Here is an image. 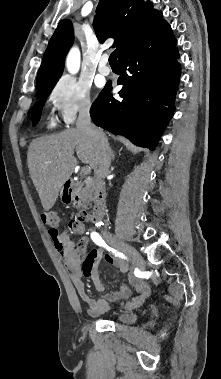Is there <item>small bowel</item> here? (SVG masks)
Listing matches in <instances>:
<instances>
[{
	"instance_id": "obj_1",
	"label": "small bowel",
	"mask_w": 221,
	"mask_h": 379,
	"mask_svg": "<svg viewBox=\"0 0 221 379\" xmlns=\"http://www.w3.org/2000/svg\"><path fill=\"white\" fill-rule=\"evenodd\" d=\"M55 247L66 262V268L70 279L74 284L78 295L87 304L88 313L91 316H97L107 312L110 309V303L120 299L129 298L131 291L126 284H122L119 291H115L111 287L104 286L99 278L98 268L102 261L115 265L122 274L127 276L128 282L136 289L138 296L123 305L126 309H132L140 306L144 300L150 295L149 286L137 278L131 271L129 266L117 261L113 257L104 253L100 248L86 253L83 264L80 259L79 252L75 249L73 241L65 232H57L50 234ZM85 275L86 282H93L96 290L101 293L99 299L91 298L86 292L83 277Z\"/></svg>"
}]
</instances>
